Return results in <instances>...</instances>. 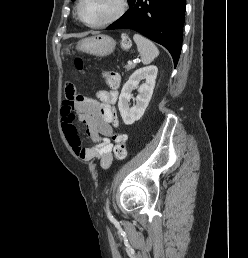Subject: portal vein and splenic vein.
Here are the masks:
<instances>
[{"mask_svg":"<svg viewBox=\"0 0 248 258\" xmlns=\"http://www.w3.org/2000/svg\"><path fill=\"white\" fill-rule=\"evenodd\" d=\"M128 63H132V61H128Z\"/></svg>","mask_w":248,"mask_h":258,"instance_id":"obj_1","label":"portal vein and splenic vein"}]
</instances>
